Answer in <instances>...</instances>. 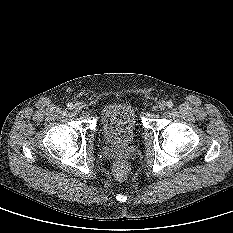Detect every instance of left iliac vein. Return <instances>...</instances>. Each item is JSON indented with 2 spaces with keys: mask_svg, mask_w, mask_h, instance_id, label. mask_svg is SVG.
Segmentation results:
<instances>
[{
  "mask_svg": "<svg viewBox=\"0 0 233 233\" xmlns=\"http://www.w3.org/2000/svg\"><path fill=\"white\" fill-rule=\"evenodd\" d=\"M166 109V103L165 102H160L159 103V110L160 111H164Z\"/></svg>",
  "mask_w": 233,
  "mask_h": 233,
  "instance_id": "1",
  "label": "left iliac vein"
}]
</instances>
